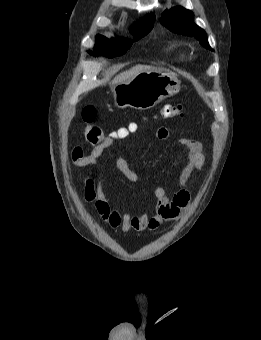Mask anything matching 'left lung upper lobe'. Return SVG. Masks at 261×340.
<instances>
[{
	"instance_id": "5c2ea615",
	"label": "left lung upper lobe",
	"mask_w": 261,
	"mask_h": 340,
	"mask_svg": "<svg viewBox=\"0 0 261 340\" xmlns=\"http://www.w3.org/2000/svg\"><path fill=\"white\" fill-rule=\"evenodd\" d=\"M193 13L183 7L173 8L163 12L161 17V23L166 26L172 32L194 36L200 41L202 46L212 50L207 41V35L205 31L194 24Z\"/></svg>"
}]
</instances>
